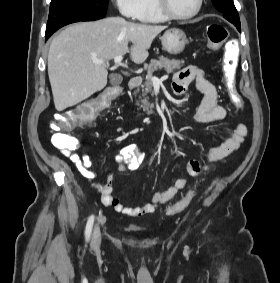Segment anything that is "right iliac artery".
Listing matches in <instances>:
<instances>
[{"label": "right iliac artery", "mask_w": 280, "mask_h": 283, "mask_svg": "<svg viewBox=\"0 0 280 283\" xmlns=\"http://www.w3.org/2000/svg\"><path fill=\"white\" fill-rule=\"evenodd\" d=\"M93 222H94V216L92 215L86 225V230H85V235L86 239L88 240L90 238L91 232H92V227H93Z\"/></svg>", "instance_id": "82829eb1"}]
</instances>
